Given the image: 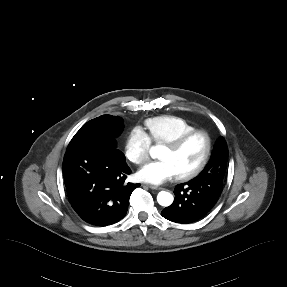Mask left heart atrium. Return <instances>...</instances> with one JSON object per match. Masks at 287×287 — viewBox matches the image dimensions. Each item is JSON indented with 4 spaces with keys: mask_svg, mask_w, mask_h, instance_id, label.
Instances as JSON below:
<instances>
[{
    "mask_svg": "<svg viewBox=\"0 0 287 287\" xmlns=\"http://www.w3.org/2000/svg\"><path fill=\"white\" fill-rule=\"evenodd\" d=\"M139 181L159 185L177 176V173L169 161H152L142 166L137 174Z\"/></svg>",
    "mask_w": 287,
    "mask_h": 287,
    "instance_id": "obj_1",
    "label": "left heart atrium"
}]
</instances>
